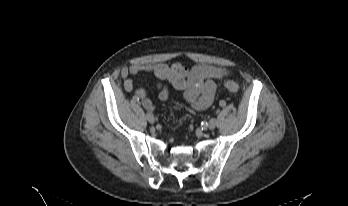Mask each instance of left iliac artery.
I'll return each instance as SVG.
<instances>
[{"instance_id": "1", "label": "left iliac artery", "mask_w": 348, "mask_h": 206, "mask_svg": "<svg viewBox=\"0 0 348 206\" xmlns=\"http://www.w3.org/2000/svg\"><path fill=\"white\" fill-rule=\"evenodd\" d=\"M219 106H220V107H226V102H224V101H219Z\"/></svg>"}]
</instances>
